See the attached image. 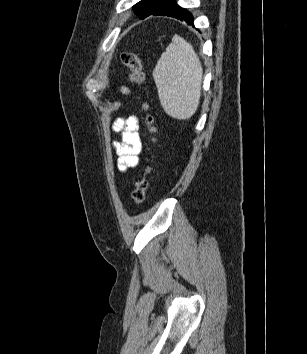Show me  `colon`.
I'll return each mask as SVG.
<instances>
[{
    "label": "colon",
    "instance_id": "5ec220e1",
    "mask_svg": "<svg viewBox=\"0 0 307 354\" xmlns=\"http://www.w3.org/2000/svg\"><path fill=\"white\" fill-rule=\"evenodd\" d=\"M122 62L130 71V81L141 91L142 83L144 81V73L138 54L133 51H126L122 54ZM140 110L143 113V122L145 125L147 141L150 145H154L156 143V127L154 125V117L148 112L149 103L142 100L140 103ZM151 171L152 165L150 163H146L142 167V176L135 182L132 197L136 204H142L145 201L148 189L147 177Z\"/></svg>",
    "mask_w": 307,
    "mask_h": 354
}]
</instances>
